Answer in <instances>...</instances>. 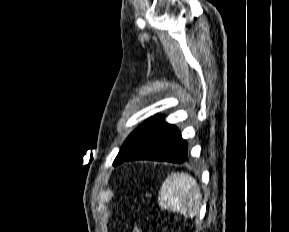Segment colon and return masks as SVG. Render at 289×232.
Returning a JSON list of instances; mask_svg holds the SVG:
<instances>
[{"mask_svg": "<svg viewBox=\"0 0 289 232\" xmlns=\"http://www.w3.org/2000/svg\"><path fill=\"white\" fill-rule=\"evenodd\" d=\"M132 232H142V231L137 224H134V226L132 228Z\"/></svg>", "mask_w": 289, "mask_h": 232, "instance_id": "1", "label": "colon"}]
</instances>
